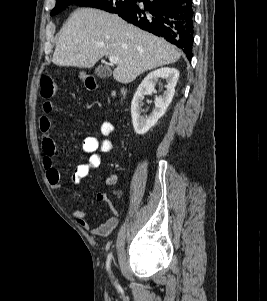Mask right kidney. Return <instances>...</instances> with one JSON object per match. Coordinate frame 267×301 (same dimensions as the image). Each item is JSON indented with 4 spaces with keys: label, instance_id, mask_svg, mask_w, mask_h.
Here are the masks:
<instances>
[{
    "label": "right kidney",
    "instance_id": "obj_1",
    "mask_svg": "<svg viewBox=\"0 0 267 301\" xmlns=\"http://www.w3.org/2000/svg\"><path fill=\"white\" fill-rule=\"evenodd\" d=\"M178 78L179 71L177 69L165 67L149 73L141 82L131 103L132 123L137 134L143 135L147 133L165 114L173 99ZM159 79L166 80V90L164 91L163 96L155 98V108L153 112L148 117L144 118L141 116V101L144 95L152 94L154 92L155 83Z\"/></svg>",
    "mask_w": 267,
    "mask_h": 301
}]
</instances>
